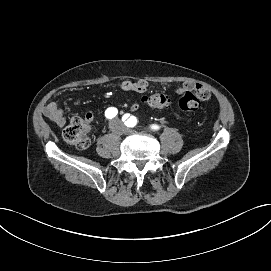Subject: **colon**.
Instances as JSON below:
<instances>
[{
    "label": "colon",
    "mask_w": 271,
    "mask_h": 271,
    "mask_svg": "<svg viewBox=\"0 0 271 271\" xmlns=\"http://www.w3.org/2000/svg\"><path fill=\"white\" fill-rule=\"evenodd\" d=\"M210 98V91L202 86L196 85L192 91L184 93L179 100V106L184 111H196L202 101ZM144 102L157 109L168 108L172 104L171 98L164 93H153L144 98ZM89 124L80 118H73L63 131L64 139L78 149H86L90 144L88 136Z\"/></svg>",
    "instance_id": "colon-1"
}]
</instances>
